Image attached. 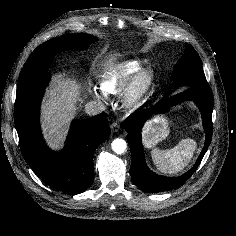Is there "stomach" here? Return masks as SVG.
<instances>
[{
    "label": "stomach",
    "mask_w": 236,
    "mask_h": 236,
    "mask_svg": "<svg viewBox=\"0 0 236 236\" xmlns=\"http://www.w3.org/2000/svg\"><path fill=\"white\" fill-rule=\"evenodd\" d=\"M170 133L168 120L164 116H157L149 121L143 130V144L146 148H152L165 140Z\"/></svg>",
    "instance_id": "0dacf381"
}]
</instances>
